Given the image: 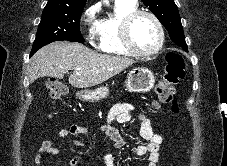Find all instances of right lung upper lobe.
<instances>
[{
  "label": "right lung upper lobe",
  "mask_w": 227,
  "mask_h": 166,
  "mask_svg": "<svg viewBox=\"0 0 227 166\" xmlns=\"http://www.w3.org/2000/svg\"><path fill=\"white\" fill-rule=\"evenodd\" d=\"M86 0H49L44 10H81Z\"/></svg>",
  "instance_id": "1"
}]
</instances>
